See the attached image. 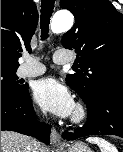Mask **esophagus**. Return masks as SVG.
<instances>
[{
  "mask_svg": "<svg viewBox=\"0 0 123 152\" xmlns=\"http://www.w3.org/2000/svg\"><path fill=\"white\" fill-rule=\"evenodd\" d=\"M50 143L53 147H59L61 145L59 134L54 127L51 128Z\"/></svg>",
  "mask_w": 123,
  "mask_h": 152,
  "instance_id": "obj_1",
  "label": "esophagus"
}]
</instances>
